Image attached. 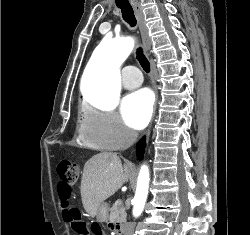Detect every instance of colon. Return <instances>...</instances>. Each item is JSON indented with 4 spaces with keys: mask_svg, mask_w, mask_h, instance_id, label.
Returning <instances> with one entry per match:
<instances>
[{
    "mask_svg": "<svg viewBox=\"0 0 250 235\" xmlns=\"http://www.w3.org/2000/svg\"><path fill=\"white\" fill-rule=\"evenodd\" d=\"M79 167L71 161H61L57 165V174L59 177L58 194L63 209V218L72 230L81 235L87 229L84 222H82L77 209L69 207V199L72 193V186L79 178Z\"/></svg>",
    "mask_w": 250,
    "mask_h": 235,
    "instance_id": "5ec220e1",
    "label": "colon"
}]
</instances>
